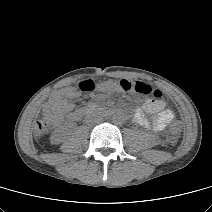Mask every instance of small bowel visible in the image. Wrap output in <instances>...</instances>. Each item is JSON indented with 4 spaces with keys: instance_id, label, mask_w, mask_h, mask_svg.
Masks as SVG:
<instances>
[{
    "instance_id": "c3829d8e",
    "label": "small bowel",
    "mask_w": 212,
    "mask_h": 212,
    "mask_svg": "<svg viewBox=\"0 0 212 212\" xmlns=\"http://www.w3.org/2000/svg\"><path fill=\"white\" fill-rule=\"evenodd\" d=\"M77 97L79 92L74 87L54 91L43 105L45 119L53 124H60L65 117L70 121L78 119L79 112H73L74 105L70 100ZM147 114L153 115L152 122ZM133 119L142 127L162 131L173 121L174 113L166 108L163 100L148 99L141 109L135 110Z\"/></svg>"
}]
</instances>
